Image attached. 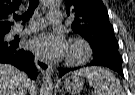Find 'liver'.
<instances>
[{
  "label": "liver",
  "mask_w": 135,
  "mask_h": 95,
  "mask_svg": "<svg viewBox=\"0 0 135 95\" xmlns=\"http://www.w3.org/2000/svg\"><path fill=\"white\" fill-rule=\"evenodd\" d=\"M28 88H35V85L24 72L0 64V95H25Z\"/></svg>",
  "instance_id": "liver-1"
}]
</instances>
